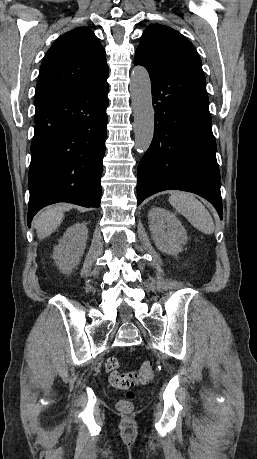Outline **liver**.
<instances>
[{"instance_id": "liver-1", "label": "liver", "mask_w": 257, "mask_h": 459, "mask_svg": "<svg viewBox=\"0 0 257 459\" xmlns=\"http://www.w3.org/2000/svg\"><path fill=\"white\" fill-rule=\"evenodd\" d=\"M64 218V207L58 205L40 212L34 220V227L39 239L51 235Z\"/></svg>"}]
</instances>
